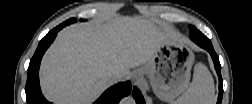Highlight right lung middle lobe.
<instances>
[{
  "label": "right lung middle lobe",
  "mask_w": 252,
  "mask_h": 104,
  "mask_svg": "<svg viewBox=\"0 0 252 104\" xmlns=\"http://www.w3.org/2000/svg\"><path fill=\"white\" fill-rule=\"evenodd\" d=\"M74 22H76V19L71 18V19L65 21L64 23H62V25L66 26V25H69V24L74 23Z\"/></svg>",
  "instance_id": "1"
}]
</instances>
